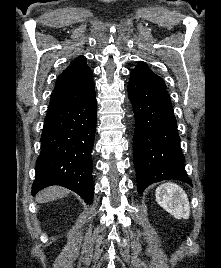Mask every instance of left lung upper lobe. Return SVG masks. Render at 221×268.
<instances>
[{"label":"left lung upper lobe","mask_w":221,"mask_h":268,"mask_svg":"<svg viewBox=\"0 0 221 268\" xmlns=\"http://www.w3.org/2000/svg\"><path fill=\"white\" fill-rule=\"evenodd\" d=\"M131 77L151 85L166 87L163 79L156 75L144 62H140L131 71Z\"/></svg>","instance_id":"obj_1"}]
</instances>
